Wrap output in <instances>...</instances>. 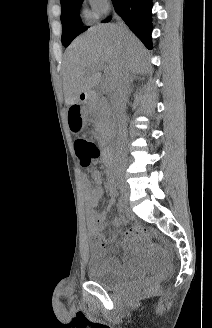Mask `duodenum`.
Wrapping results in <instances>:
<instances>
[{
  "label": "duodenum",
  "instance_id": "410a0bca",
  "mask_svg": "<svg viewBox=\"0 0 212 328\" xmlns=\"http://www.w3.org/2000/svg\"><path fill=\"white\" fill-rule=\"evenodd\" d=\"M101 96L105 98V97H109L111 95H110V93L107 90H103ZM89 99H90V95L89 94H85L83 97H81V102H86ZM102 155L104 157V160L107 163H110V147L109 146H107V147H105L103 149Z\"/></svg>",
  "mask_w": 212,
  "mask_h": 328
}]
</instances>
